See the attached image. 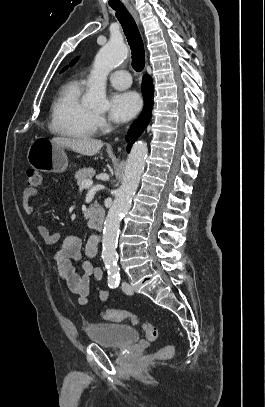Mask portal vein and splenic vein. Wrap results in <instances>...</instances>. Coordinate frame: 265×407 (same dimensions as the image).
<instances>
[{
	"instance_id": "portal-vein-and-splenic-vein-1",
	"label": "portal vein and splenic vein",
	"mask_w": 265,
	"mask_h": 407,
	"mask_svg": "<svg viewBox=\"0 0 265 407\" xmlns=\"http://www.w3.org/2000/svg\"><path fill=\"white\" fill-rule=\"evenodd\" d=\"M93 182L91 180H85L81 183L80 189L84 188H90L92 186Z\"/></svg>"
}]
</instances>
